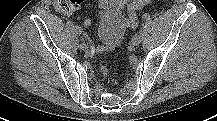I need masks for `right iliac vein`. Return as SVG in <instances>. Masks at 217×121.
Here are the masks:
<instances>
[{
    "label": "right iliac vein",
    "mask_w": 217,
    "mask_h": 121,
    "mask_svg": "<svg viewBox=\"0 0 217 121\" xmlns=\"http://www.w3.org/2000/svg\"><path fill=\"white\" fill-rule=\"evenodd\" d=\"M79 47H80V49H82V50H87L88 49V46L85 44V43H81L80 45H79Z\"/></svg>",
    "instance_id": "right-iliac-vein-1"
}]
</instances>
